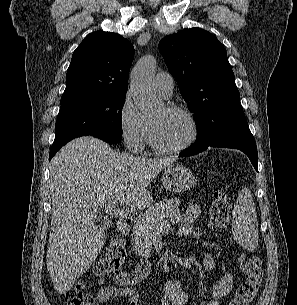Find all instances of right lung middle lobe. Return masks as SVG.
<instances>
[{
	"mask_svg": "<svg viewBox=\"0 0 297 305\" xmlns=\"http://www.w3.org/2000/svg\"><path fill=\"white\" fill-rule=\"evenodd\" d=\"M124 101L125 93L84 95L61 100L52 148L61 147L85 135L121 137Z\"/></svg>",
	"mask_w": 297,
	"mask_h": 305,
	"instance_id": "obj_1",
	"label": "right lung middle lobe"
}]
</instances>
